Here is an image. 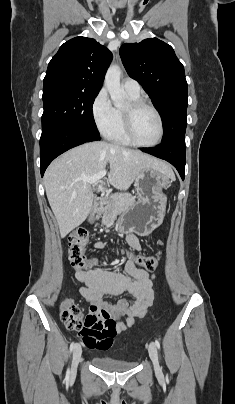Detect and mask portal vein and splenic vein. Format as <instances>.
<instances>
[{
  "instance_id": "18ae733b",
  "label": "portal vein and splenic vein",
  "mask_w": 235,
  "mask_h": 404,
  "mask_svg": "<svg viewBox=\"0 0 235 404\" xmlns=\"http://www.w3.org/2000/svg\"><path fill=\"white\" fill-rule=\"evenodd\" d=\"M107 174L106 170L100 171L99 173L93 175L92 177H82L81 179L85 182L91 183V184H95L97 183L100 179H102L103 177H105V175ZM99 190L101 192L104 191V188L102 185H99Z\"/></svg>"
}]
</instances>
